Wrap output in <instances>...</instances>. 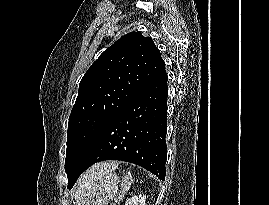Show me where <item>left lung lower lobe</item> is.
<instances>
[{
  "label": "left lung lower lobe",
  "mask_w": 269,
  "mask_h": 205,
  "mask_svg": "<svg viewBox=\"0 0 269 205\" xmlns=\"http://www.w3.org/2000/svg\"><path fill=\"white\" fill-rule=\"evenodd\" d=\"M167 80L164 69L102 130L72 173L69 189L87 168L104 160L131 162L165 179Z\"/></svg>",
  "instance_id": "obj_1"
}]
</instances>
